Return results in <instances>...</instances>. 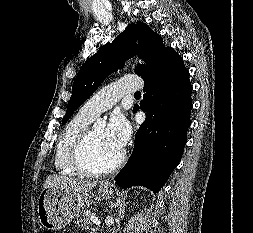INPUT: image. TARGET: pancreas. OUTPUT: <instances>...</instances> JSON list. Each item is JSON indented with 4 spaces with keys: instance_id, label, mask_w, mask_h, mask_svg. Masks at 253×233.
<instances>
[{
    "instance_id": "cf45deb5",
    "label": "pancreas",
    "mask_w": 253,
    "mask_h": 233,
    "mask_svg": "<svg viewBox=\"0 0 253 233\" xmlns=\"http://www.w3.org/2000/svg\"><path fill=\"white\" fill-rule=\"evenodd\" d=\"M92 215L93 214L90 211L82 210V212L78 216L77 226L79 228H82L83 230L90 228L92 226V222H91Z\"/></svg>"
}]
</instances>
